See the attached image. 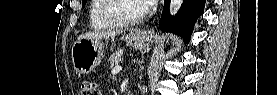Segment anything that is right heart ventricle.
<instances>
[{"label":"right heart ventricle","instance_id":"obj_1","mask_svg":"<svg viewBox=\"0 0 277 95\" xmlns=\"http://www.w3.org/2000/svg\"><path fill=\"white\" fill-rule=\"evenodd\" d=\"M106 0H92L90 6L89 24L91 28L95 29H111L116 26V24L105 20L101 16V9Z\"/></svg>","mask_w":277,"mask_h":95}]
</instances>
